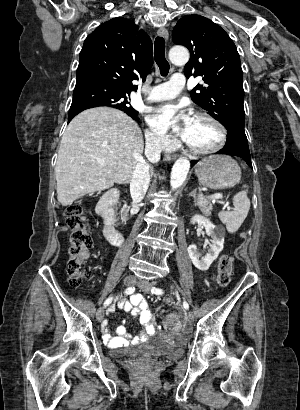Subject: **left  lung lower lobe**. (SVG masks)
Returning a JSON list of instances; mask_svg holds the SVG:
<instances>
[{"label":"left lung lower lobe","mask_w":300,"mask_h":410,"mask_svg":"<svg viewBox=\"0 0 300 410\" xmlns=\"http://www.w3.org/2000/svg\"><path fill=\"white\" fill-rule=\"evenodd\" d=\"M216 154H227L242 157L246 163L252 167L247 137L245 135V131L240 129H228L226 145ZM196 163L197 161H192L191 166H194Z\"/></svg>","instance_id":"left-lung-lower-lobe-1"}]
</instances>
